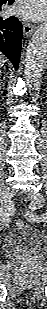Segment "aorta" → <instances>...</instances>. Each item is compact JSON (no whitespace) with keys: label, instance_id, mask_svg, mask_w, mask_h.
Listing matches in <instances>:
<instances>
[{"label":"aorta","instance_id":"obj_1","mask_svg":"<svg viewBox=\"0 0 47 309\" xmlns=\"http://www.w3.org/2000/svg\"><path fill=\"white\" fill-rule=\"evenodd\" d=\"M47 59V27L40 25L35 30L27 47L24 74L29 88L37 87L44 74Z\"/></svg>","mask_w":47,"mask_h":309}]
</instances>
